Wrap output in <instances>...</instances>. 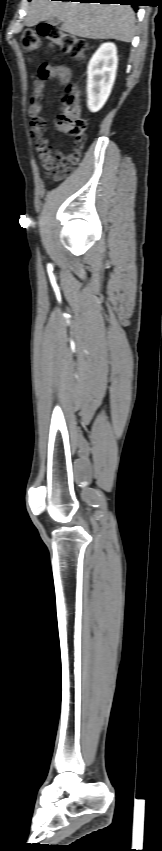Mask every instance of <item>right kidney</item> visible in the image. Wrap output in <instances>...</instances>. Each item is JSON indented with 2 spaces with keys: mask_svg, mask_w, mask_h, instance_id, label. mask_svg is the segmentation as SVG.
Instances as JSON below:
<instances>
[{
  "mask_svg": "<svg viewBox=\"0 0 162 851\" xmlns=\"http://www.w3.org/2000/svg\"><path fill=\"white\" fill-rule=\"evenodd\" d=\"M117 63L114 43H103L92 56L87 68V106L91 112L99 111L107 101L115 81Z\"/></svg>",
  "mask_w": 162,
  "mask_h": 851,
  "instance_id": "right-kidney-1",
  "label": "right kidney"
}]
</instances>
